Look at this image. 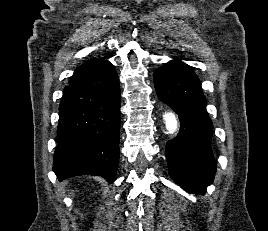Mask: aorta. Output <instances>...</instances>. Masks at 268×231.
<instances>
[{
  "label": "aorta",
  "instance_id": "aorta-1",
  "mask_svg": "<svg viewBox=\"0 0 268 231\" xmlns=\"http://www.w3.org/2000/svg\"><path fill=\"white\" fill-rule=\"evenodd\" d=\"M166 130L169 134H175L178 131V120L174 113L165 112L163 114Z\"/></svg>",
  "mask_w": 268,
  "mask_h": 231
}]
</instances>
